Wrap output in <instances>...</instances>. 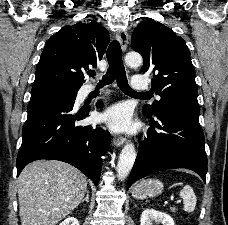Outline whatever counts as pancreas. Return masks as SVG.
<instances>
[{
  "label": "pancreas",
  "mask_w": 228,
  "mask_h": 225,
  "mask_svg": "<svg viewBox=\"0 0 228 225\" xmlns=\"http://www.w3.org/2000/svg\"><path fill=\"white\" fill-rule=\"evenodd\" d=\"M171 211H172V213H175V209H174V207H172Z\"/></svg>",
  "instance_id": "1"
}]
</instances>
